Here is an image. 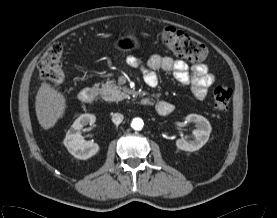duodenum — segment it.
<instances>
[{"instance_id":"duodenum-1","label":"duodenum","mask_w":277,"mask_h":218,"mask_svg":"<svg viewBox=\"0 0 277 218\" xmlns=\"http://www.w3.org/2000/svg\"><path fill=\"white\" fill-rule=\"evenodd\" d=\"M97 93L98 91L94 88H84L79 92V99L84 104H92L96 100ZM157 109L161 114L167 115L171 112V105L162 101L157 104Z\"/></svg>"}]
</instances>
